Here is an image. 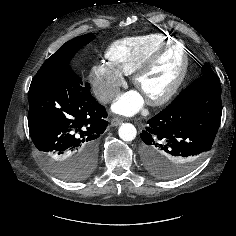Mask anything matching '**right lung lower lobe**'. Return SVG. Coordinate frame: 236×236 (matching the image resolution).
Masks as SVG:
<instances>
[{
  "mask_svg": "<svg viewBox=\"0 0 236 236\" xmlns=\"http://www.w3.org/2000/svg\"><path fill=\"white\" fill-rule=\"evenodd\" d=\"M28 95L30 136L46 160L97 159L98 137L108 122L89 83L84 84L72 70L35 75Z\"/></svg>",
  "mask_w": 236,
  "mask_h": 236,
  "instance_id": "98d812e1",
  "label": "right lung lower lobe"
}]
</instances>
